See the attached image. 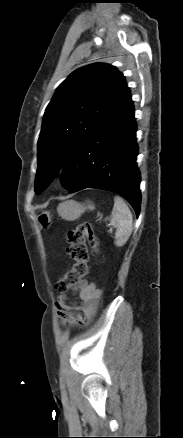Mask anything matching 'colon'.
I'll return each instance as SVG.
<instances>
[{"mask_svg":"<svg viewBox=\"0 0 183 438\" xmlns=\"http://www.w3.org/2000/svg\"><path fill=\"white\" fill-rule=\"evenodd\" d=\"M68 248L72 264L70 269L62 275L55 284V290L63 293L78 285L89 272V247L96 254L99 240L89 223L79 224L68 232Z\"/></svg>","mask_w":183,"mask_h":438,"instance_id":"1","label":"colon"}]
</instances>
